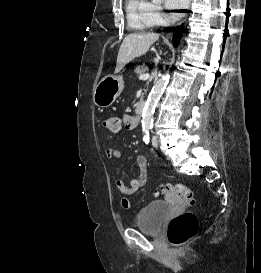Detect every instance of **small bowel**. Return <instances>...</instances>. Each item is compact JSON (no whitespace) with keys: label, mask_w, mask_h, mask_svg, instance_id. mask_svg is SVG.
<instances>
[{"label":"small bowel","mask_w":261,"mask_h":273,"mask_svg":"<svg viewBox=\"0 0 261 273\" xmlns=\"http://www.w3.org/2000/svg\"><path fill=\"white\" fill-rule=\"evenodd\" d=\"M121 121L127 130H132L137 125L136 117L129 114H123ZM122 153V150L116 148H107L105 150V155L109 159L120 158ZM136 163L139 168L137 178L130 180L128 183L121 178H117L115 181L117 189L124 195L121 199V206L127 210L131 208L129 197L135 194L139 189L144 188L148 178L147 158L144 155H138L136 157Z\"/></svg>","instance_id":"1"}]
</instances>
